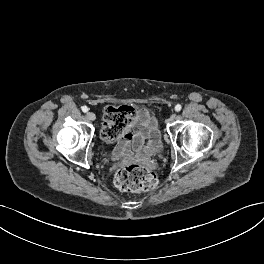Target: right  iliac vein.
<instances>
[{"label":"right iliac vein","mask_w":264,"mask_h":264,"mask_svg":"<svg viewBox=\"0 0 264 264\" xmlns=\"http://www.w3.org/2000/svg\"><path fill=\"white\" fill-rule=\"evenodd\" d=\"M86 117H87V119L90 120V121H94V120L96 119V115H95L93 112H88V113L86 114Z\"/></svg>","instance_id":"63e3f726"}]
</instances>
